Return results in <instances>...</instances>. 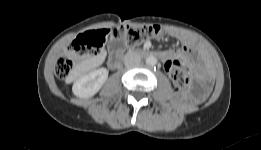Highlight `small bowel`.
<instances>
[{"mask_svg": "<svg viewBox=\"0 0 261 150\" xmlns=\"http://www.w3.org/2000/svg\"><path fill=\"white\" fill-rule=\"evenodd\" d=\"M170 35L180 41L181 47L172 51L158 53V57L164 61L165 70L167 71V63L173 60L172 58L179 59L187 63L189 66L195 67L196 66L195 53L197 51V47L193 37H191L186 33L175 31V30L170 31Z\"/></svg>", "mask_w": 261, "mask_h": 150, "instance_id": "small-bowel-1", "label": "small bowel"}]
</instances>
